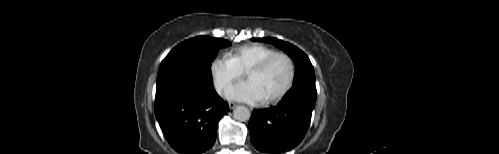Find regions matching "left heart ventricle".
<instances>
[{"label": "left heart ventricle", "instance_id": "1", "mask_svg": "<svg viewBox=\"0 0 499 154\" xmlns=\"http://www.w3.org/2000/svg\"><path fill=\"white\" fill-rule=\"evenodd\" d=\"M288 64L283 58H276L263 71L249 72L246 74L248 81L254 82L262 92L265 99L278 94L288 79Z\"/></svg>", "mask_w": 499, "mask_h": 154}]
</instances>
